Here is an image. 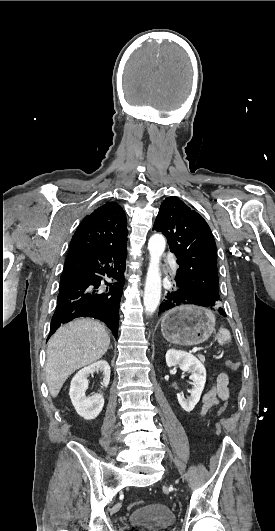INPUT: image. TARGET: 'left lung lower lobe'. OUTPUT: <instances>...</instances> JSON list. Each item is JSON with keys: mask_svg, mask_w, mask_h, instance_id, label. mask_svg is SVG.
<instances>
[{"mask_svg": "<svg viewBox=\"0 0 275 531\" xmlns=\"http://www.w3.org/2000/svg\"><path fill=\"white\" fill-rule=\"evenodd\" d=\"M181 304H194V303H191L185 300V298H183V296L180 293L176 291H170L167 293V295L165 296V299L161 302L159 306V314L164 313L170 310L171 308L181 305ZM219 313L226 317V313L223 311V309L220 308Z\"/></svg>", "mask_w": 275, "mask_h": 531, "instance_id": "0a47b994", "label": "left lung lower lobe"}]
</instances>
